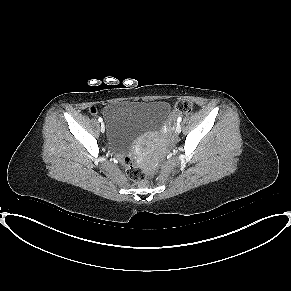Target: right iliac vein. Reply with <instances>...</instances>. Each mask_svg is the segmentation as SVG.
Masks as SVG:
<instances>
[{"label": "right iliac vein", "mask_w": 291, "mask_h": 291, "mask_svg": "<svg viewBox=\"0 0 291 291\" xmlns=\"http://www.w3.org/2000/svg\"><path fill=\"white\" fill-rule=\"evenodd\" d=\"M101 131L104 132L105 128H104V123H101Z\"/></svg>", "instance_id": "63e3f726"}]
</instances>
